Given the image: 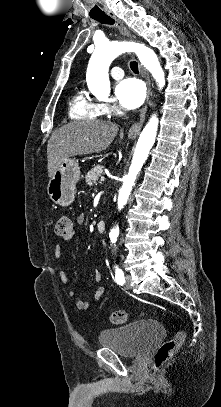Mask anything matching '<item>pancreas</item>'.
<instances>
[{
    "label": "pancreas",
    "instance_id": "pancreas-1",
    "mask_svg": "<svg viewBox=\"0 0 221 407\" xmlns=\"http://www.w3.org/2000/svg\"><path fill=\"white\" fill-rule=\"evenodd\" d=\"M102 166L98 165L92 168L87 175L85 176V181L87 185H93L96 184L98 181L99 177L102 174Z\"/></svg>",
    "mask_w": 221,
    "mask_h": 407
}]
</instances>
